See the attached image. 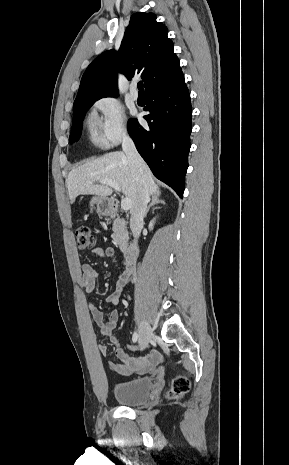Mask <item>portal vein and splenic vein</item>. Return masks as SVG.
I'll return each mask as SVG.
<instances>
[{"label": "portal vein and splenic vein", "mask_w": 289, "mask_h": 465, "mask_svg": "<svg viewBox=\"0 0 289 465\" xmlns=\"http://www.w3.org/2000/svg\"><path fill=\"white\" fill-rule=\"evenodd\" d=\"M100 183L101 184H106V185L112 187L117 192L121 191V187L115 181H112V180H109V179H104V180H101ZM121 208L123 210H125V211L129 210L131 208V200L128 199V198L122 199L121 200Z\"/></svg>", "instance_id": "18ae733b"}]
</instances>
